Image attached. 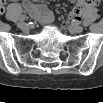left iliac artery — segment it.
I'll list each match as a JSON object with an SVG mask.
<instances>
[{
    "instance_id": "left-iliac-artery-1",
    "label": "left iliac artery",
    "mask_w": 103,
    "mask_h": 103,
    "mask_svg": "<svg viewBox=\"0 0 103 103\" xmlns=\"http://www.w3.org/2000/svg\"><path fill=\"white\" fill-rule=\"evenodd\" d=\"M83 25H84V26H89V25H90V22L87 21V20H84V21H83Z\"/></svg>"
}]
</instances>
